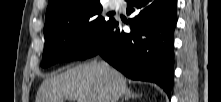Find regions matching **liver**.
Returning a JSON list of instances; mask_svg holds the SVG:
<instances>
[{"instance_id":"1","label":"liver","mask_w":221,"mask_h":102,"mask_svg":"<svg viewBox=\"0 0 221 102\" xmlns=\"http://www.w3.org/2000/svg\"><path fill=\"white\" fill-rule=\"evenodd\" d=\"M126 90L127 82L122 74L107 64L92 62L45 79L36 102H118Z\"/></svg>"}]
</instances>
